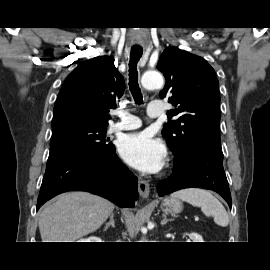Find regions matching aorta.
<instances>
[{"label": "aorta", "instance_id": "obj_1", "mask_svg": "<svg viewBox=\"0 0 270 270\" xmlns=\"http://www.w3.org/2000/svg\"><path fill=\"white\" fill-rule=\"evenodd\" d=\"M142 86L145 89H160L163 87L164 80L160 73L158 72H147L143 75L141 80Z\"/></svg>", "mask_w": 270, "mask_h": 270}]
</instances>
